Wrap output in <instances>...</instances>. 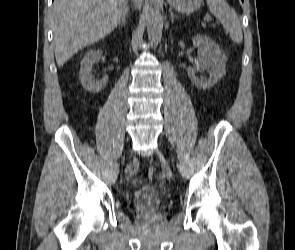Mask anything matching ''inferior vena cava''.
<instances>
[{"label":"inferior vena cava","mask_w":295,"mask_h":250,"mask_svg":"<svg viewBox=\"0 0 295 250\" xmlns=\"http://www.w3.org/2000/svg\"><path fill=\"white\" fill-rule=\"evenodd\" d=\"M133 2L135 3V5L137 6V2H138V0H133ZM138 7V6H137Z\"/></svg>","instance_id":"obj_1"}]
</instances>
